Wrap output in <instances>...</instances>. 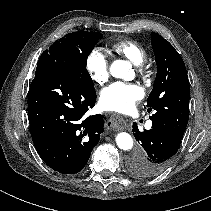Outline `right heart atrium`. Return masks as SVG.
Instances as JSON below:
<instances>
[{"instance_id": "d8ad5b80", "label": "right heart atrium", "mask_w": 211, "mask_h": 211, "mask_svg": "<svg viewBox=\"0 0 211 211\" xmlns=\"http://www.w3.org/2000/svg\"><path fill=\"white\" fill-rule=\"evenodd\" d=\"M86 69L91 79L101 85L109 79V61L99 49L92 50L86 58Z\"/></svg>"}]
</instances>
